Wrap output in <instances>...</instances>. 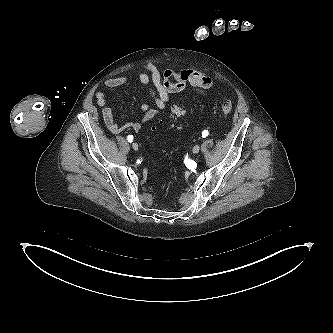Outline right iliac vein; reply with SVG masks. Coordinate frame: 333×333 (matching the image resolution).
Masks as SVG:
<instances>
[{"instance_id": "63e3f726", "label": "right iliac vein", "mask_w": 333, "mask_h": 333, "mask_svg": "<svg viewBox=\"0 0 333 333\" xmlns=\"http://www.w3.org/2000/svg\"><path fill=\"white\" fill-rule=\"evenodd\" d=\"M132 148H133L135 151H137V150H138V144L135 143V142H133V143H132Z\"/></svg>"}]
</instances>
